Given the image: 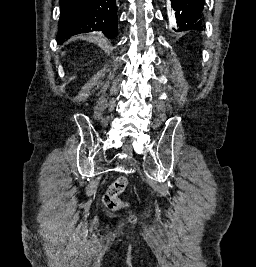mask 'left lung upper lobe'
Instances as JSON below:
<instances>
[{"label":"left lung upper lobe","mask_w":256,"mask_h":267,"mask_svg":"<svg viewBox=\"0 0 256 267\" xmlns=\"http://www.w3.org/2000/svg\"><path fill=\"white\" fill-rule=\"evenodd\" d=\"M197 29H203V26H199Z\"/></svg>","instance_id":"1"}]
</instances>
